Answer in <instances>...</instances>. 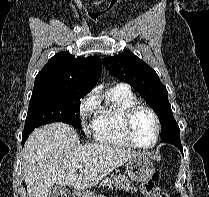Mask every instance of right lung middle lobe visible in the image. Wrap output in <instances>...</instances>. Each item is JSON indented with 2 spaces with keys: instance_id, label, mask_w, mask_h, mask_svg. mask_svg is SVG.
<instances>
[{
  "instance_id": "obj_1",
  "label": "right lung middle lobe",
  "mask_w": 209,
  "mask_h": 197,
  "mask_svg": "<svg viewBox=\"0 0 209 197\" xmlns=\"http://www.w3.org/2000/svg\"><path fill=\"white\" fill-rule=\"evenodd\" d=\"M91 90L77 84L35 82L24 131L51 122L81 127L80 99Z\"/></svg>"
}]
</instances>
